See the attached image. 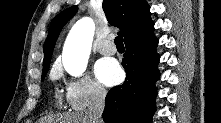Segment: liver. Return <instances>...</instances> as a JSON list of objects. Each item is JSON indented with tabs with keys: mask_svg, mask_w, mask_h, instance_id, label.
Instances as JSON below:
<instances>
[{
	"mask_svg": "<svg viewBox=\"0 0 221 123\" xmlns=\"http://www.w3.org/2000/svg\"><path fill=\"white\" fill-rule=\"evenodd\" d=\"M48 123H91L85 113L67 114L64 116H58L55 118H49Z\"/></svg>",
	"mask_w": 221,
	"mask_h": 123,
	"instance_id": "6515ba94",
	"label": "liver"
}]
</instances>
